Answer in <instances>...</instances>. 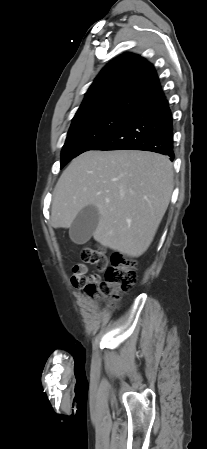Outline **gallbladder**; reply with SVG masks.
Masks as SVG:
<instances>
[{
    "label": "gallbladder",
    "instance_id": "gallbladder-1",
    "mask_svg": "<svg viewBox=\"0 0 207 449\" xmlns=\"http://www.w3.org/2000/svg\"><path fill=\"white\" fill-rule=\"evenodd\" d=\"M99 211L95 206L84 207L74 219L69 235L76 244H85L90 240L99 222Z\"/></svg>",
    "mask_w": 207,
    "mask_h": 449
}]
</instances>
